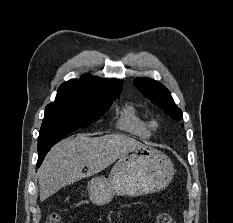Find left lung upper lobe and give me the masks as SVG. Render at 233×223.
Listing matches in <instances>:
<instances>
[{
    "mask_svg": "<svg viewBox=\"0 0 233 223\" xmlns=\"http://www.w3.org/2000/svg\"><path fill=\"white\" fill-rule=\"evenodd\" d=\"M134 85L147 99L163 109L174 120L182 119V111L175 105L169 91L161 83L149 78H136Z\"/></svg>",
    "mask_w": 233,
    "mask_h": 223,
    "instance_id": "5c2ea615",
    "label": "left lung upper lobe"
}]
</instances>
